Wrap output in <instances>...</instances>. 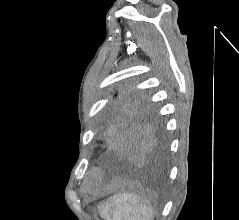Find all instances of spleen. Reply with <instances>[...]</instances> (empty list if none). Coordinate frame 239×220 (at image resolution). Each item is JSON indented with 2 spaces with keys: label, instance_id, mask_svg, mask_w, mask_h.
<instances>
[{
  "label": "spleen",
  "instance_id": "3e777b00",
  "mask_svg": "<svg viewBox=\"0 0 239 220\" xmlns=\"http://www.w3.org/2000/svg\"><path fill=\"white\" fill-rule=\"evenodd\" d=\"M100 216L105 220H153L154 210L136 194L119 193L101 203Z\"/></svg>",
  "mask_w": 239,
  "mask_h": 220
}]
</instances>
